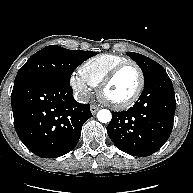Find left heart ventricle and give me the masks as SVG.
Here are the masks:
<instances>
[{
	"mask_svg": "<svg viewBox=\"0 0 193 193\" xmlns=\"http://www.w3.org/2000/svg\"><path fill=\"white\" fill-rule=\"evenodd\" d=\"M139 84V74L136 68L129 66L120 71L106 88L105 97L115 103L130 98Z\"/></svg>",
	"mask_w": 193,
	"mask_h": 193,
	"instance_id": "b2bd125f",
	"label": "left heart ventricle"
}]
</instances>
